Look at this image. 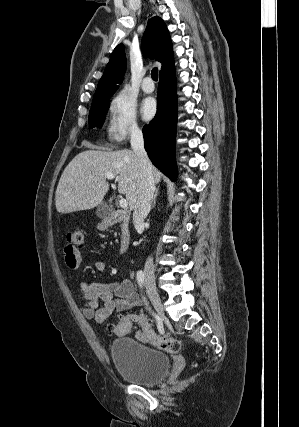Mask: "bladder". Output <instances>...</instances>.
I'll return each mask as SVG.
<instances>
[{
	"label": "bladder",
	"instance_id": "bladder-1",
	"mask_svg": "<svg viewBox=\"0 0 299 427\" xmlns=\"http://www.w3.org/2000/svg\"><path fill=\"white\" fill-rule=\"evenodd\" d=\"M110 353L117 373L141 386H152L164 380L170 370L169 357L131 338L111 342Z\"/></svg>",
	"mask_w": 299,
	"mask_h": 427
}]
</instances>
